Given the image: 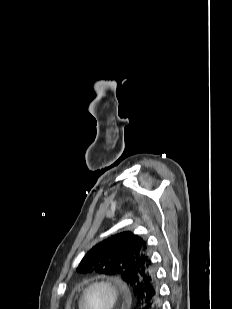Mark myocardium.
I'll return each instance as SVG.
<instances>
[{
    "label": "myocardium",
    "instance_id": "myocardium-1",
    "mask_svg": "<svg viewBox=\"0 0 232 309\" xmlns=\"http://www.w3.org/2000/svg\"><path fill=\"white\" fill-rule=\"evenodd\" d=\"M94 287L104 288L111 299L108 309H116L119 304L122 292L115 282L108 279L93 280L84 288L80 298V309H86V295L88 291Z\"/></svg>",
    "mask_w": 232,
    "mask_h": 309
}]
</instances>
